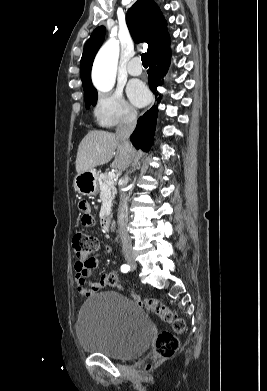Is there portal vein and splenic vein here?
<instances>
[{
    "mask_svg": "<svg viewBox=\"0 0 267 391\" xmlns=\"http://www.w3.org/2000/svg\"><path fill=\"white\" fill-rule=\"evenodd\" d=\"M108 176L111 177V178H115V177H116V174H115L114 172H110V173L108 174Z\"/></svg>",
    "mask_w": 267,
    "mask_h": 391,
    "instance_id": "obj_1",
    "label": "portal vein and splenic vein"
}]
</instances>
